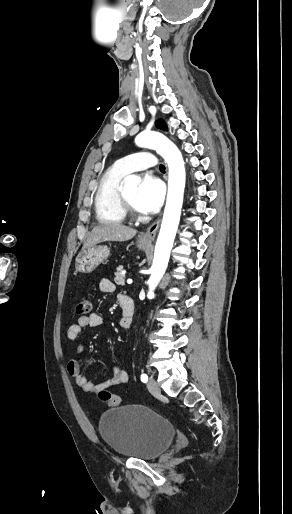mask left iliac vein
<instances>
[{
    "mask_svg": "<svg viewBox=\"0 0 292 514\" xmlns=\"http://www.w3.org/2000/svg\"><path fill=\"white\" fill-rule=\"evenodd\" d=\"M147 387H148L149 392L152 395H154V396L160 395V392H161L160 387H159V385L157 384L156 380L153 377L149 378L148 383H147Z\"/></svg>",
    "mask_w": 292,
    "mask_h": 514,
    "instance_id": "1",
    "label": "left iliac vein"
}]
</instances>
